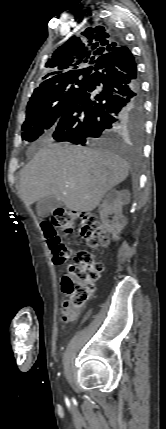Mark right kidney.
Segmentation results:
<instances>
[{"label": "right kidney", "instance_id": "1", "mask_svg": "<svg viewBox=\"0 0 166 429\" xmlns=\"http://www.w3.org/2000/svg\"><path fill=\"white\" fill-rule=\"evenodd\" d=\"M129 201L130 192L128 190L112 189L99 207L102 225L107 232L112 234L114 240L119 238V233L127 224V219L122 214V206L128 204ZM109 215H114L112 220H109Z\"/></svg>", "mask_w": 166, "mask_h": 429}]
</instances>
